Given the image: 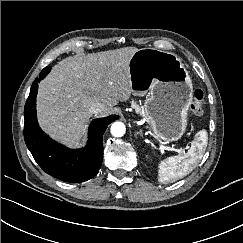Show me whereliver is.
<instances>
[{
    "label": "liver",
    "mask_w": 243,
    "mask_h": 243,
    "mask_svg": "<svg viewBox=\"0 0 243 243\" xmlns=\"http://www.w3.org/2000/svg\"><path fill=\"white\" fill-rule=\"evenodd\" d=\"M135 47L67 57L54 66L40 83L37 116L41 128L52 138L74 145L92 116L88 102L105 105L108 115L119 101L132 93L129 62Z\"/></svg>",
    "instance_id": "1"
}]
</instances>
